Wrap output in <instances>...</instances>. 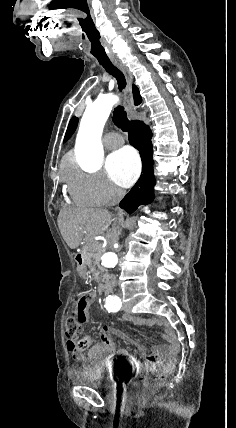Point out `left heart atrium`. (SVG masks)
I'll return each mask as SVG.
<instances>
[{"label":"left heart atrium","mask_w":236,"mask_h":428,"mask_svg":"<svg viewBox=\"0 0 236 428\" xmlns=\"http://www.w3.org/2000/svg\"><path fill=\"white\" fill-rule=\"evenodd\" d=\"M106 169L115 183L122 187H129L139 177L140 159L132 148L123 147L108 157Z\"/></svg>","instance_id":"1"}]
</instances>
